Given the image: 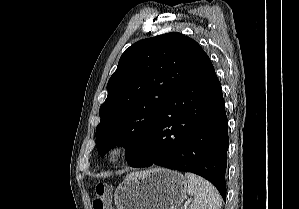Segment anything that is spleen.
I'll return each instance as SVG.
<instances>
[{
  "label": "spleen",
  "mask_w": 299,
  "mask_h": 209,
  "mask_svg": "<svg viewBox=\"0 0 299 209\" xmlns=\"http://www.w3.org/2000/svg\"><path fill=\"white\" fill-rule=\"evenodd\" d=\"M185 177L187 193L193 196L189 209H221V196L210 182L190 172Z\"/></svg>",
  "instance_id": "spleen-1"
}]
</instances>
